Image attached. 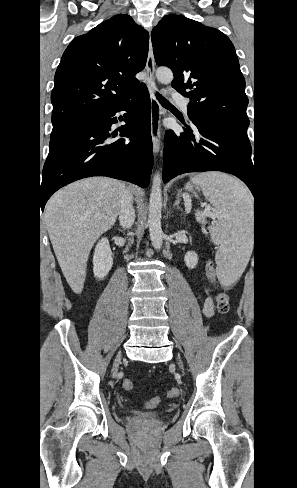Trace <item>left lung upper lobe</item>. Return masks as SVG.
Masks as SVG:
<instances>
[{"mask_svg":"<svg viewBox=\"0 0 297 488\" xmlns=\"http://www.w3.org/2000/svg\"><path fill=\"white\" fill-rule=\"evenodd\" d=\"M151 38L157 65L171 68V86L190 98V120L248 138L245 79L230 39L180 15L164 16Z\"/></svg>","mask_w":297,"mask_h":488,"instance_id":"obj_1","label":"left lung upper lobe"}]
</instances>
